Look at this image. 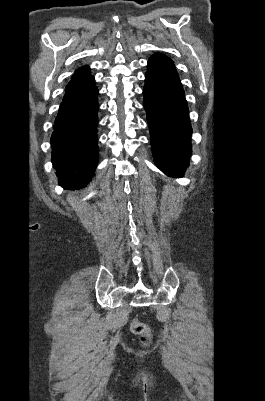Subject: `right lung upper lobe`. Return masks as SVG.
<instances>
[{"mask_svg":"<svg viewBox=\"0 0 265 401\" xmlns=\"http://www.w3.org/2000/svg\"><path fill=\"white\" fill-rule=\"evenodd\" d=\"M89 72L90 68L88 66H83L76 70L71 81L66 86V90L73 87L92 83L94 81V78Z\"/></svg>","mask_w":265,"mask_h":401,"instance_id":"right-lung-upper-lobe-1","label":"right lung upper lobe"}]
</instances>
